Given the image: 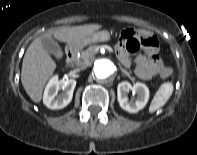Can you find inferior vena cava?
<instances>
[{
	"instance_id": "602c4592",
	"label": "inferior vena cava",
	"mask_w": 197,
	"mask_h": 155,
	"mask_svg": "<svg viewBox=\"0 0 197 155\" xmlns=\"http://www.w3.org/2000/svg\"><path fill=\"white\" fill-rule=\"evenodd\" d=\"M84 68H85V65L84 64H81V65H79L78 70H81V69H84Z\"/></svg>"
}]
</instances>
